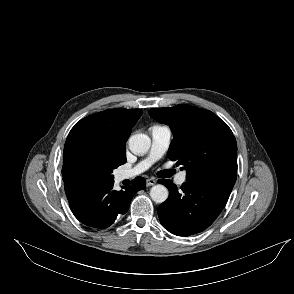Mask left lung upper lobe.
<instances>
[{
  "instance_id": "5c2ea615",
  "label": "left lung upper lobe",
  "mask_w": 294,
  "mask_h": 294,
  "mask_svg": "<svg viewBox=\"0 0 294 294\" xmlns=\"http://www.w3.org/2000/svg\"><path fill=\"white\" fill-rule=\"evenodd\" d=\"M152 118L170 126L168 157L186 169V179L229 176L236 181L237 144L231 129L213 112L189 105L153 108Z\"/></svg>"
}]
</instances>
